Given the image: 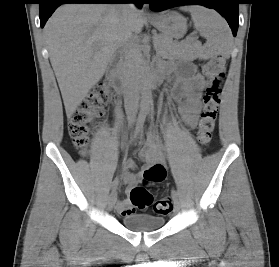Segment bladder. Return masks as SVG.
Here are the masks:
<instances>
[{"instance_id": "obj_1", "label": "bladder", "mask_w": 279, "mask_h": 267, "mask_svg": "<svg viewBox=\"0 0 279 267\" xmlns=\"http://www.w3.org/2000/svg\"><path fill=\"white\" fill-rule=\"evenodd\" d=\"M122 225L131 231L150 232L161 229L165 223L162 217H154L146 214L123 215Z\"/></svg>"}]
</instances>
